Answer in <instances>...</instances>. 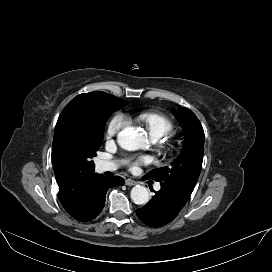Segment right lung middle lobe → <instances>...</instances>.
<instances>
[{"mask_svg": "<svg viewBox=\"0 0 272 272\" xmlns=\"http://www.w3.org/2000/svg\"><path fill=\"white\" fill-rule=\"evenodd\" d=\"M127 104V101L99 91L81 108L70 110L64 117L59 128L60 143L79 169H94L92 158L102 144L106 121Z\"/></svg>", "mask_w": 272, "mask_h": 272, "instance_id": "right-lung-middle-lobe-1", "label": "right lung middle lobe"}]
</instances>
